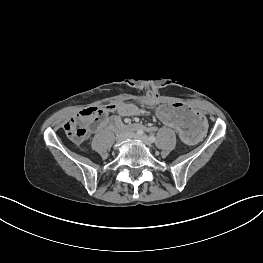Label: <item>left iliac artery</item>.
<instances>
[{"mask_svg": "<svg viewBox=\"0 0 263 263\" xmlns=\"http://www.w3.org/2000/svg\"><path fill=\"white\" fill-rule=\"evenodd\" d=\"M149 140H150L151 142H155L156 138H155L154 135H151V136L149 137Z\"/></svg>", "mask_w": 263, "mask_h": 263, "instance_id": "left-iliac-artery-1", "label": "left iliac artery"}]
</instances>
